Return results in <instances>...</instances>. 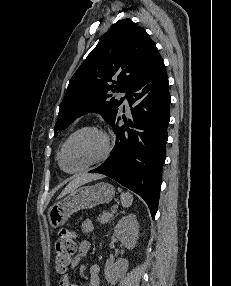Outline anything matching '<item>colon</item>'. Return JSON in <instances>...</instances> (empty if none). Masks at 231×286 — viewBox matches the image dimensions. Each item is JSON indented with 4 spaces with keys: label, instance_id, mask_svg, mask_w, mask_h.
<instances>
[{
    "label": "colon",
    "instance_id": "obj_1",
    "mask_svg": "<svg viewBox=\"0 0 231 286\" xmlns=\"http://www.w3.org/2000/svg\"><path fill=\"white\" fill-rule=\"evenodd\" d=\"M76 233L69 229H62L55 244V266L59 273H64L69 268L76 252Z\"/></svg>",
    "mask_w": 231,
    "mask_h": 286
}]
</instances>
